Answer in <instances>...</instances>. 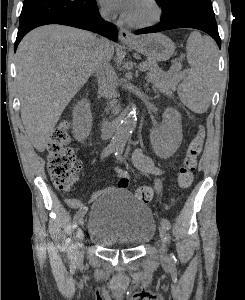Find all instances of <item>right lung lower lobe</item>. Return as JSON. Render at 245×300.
Instances as JSON below:
<instances>
[{
  "label": "right lung lower lobe",
  "mask_w": 245,
  "mask_h": 300,
  "mask_svg": "<svg viewBox=\"0 0 245 300\" xmlns=\"http://www.w3.org/2000/svg\"><path fill=\"white\" fill-rule=\"evenodd\" d=\"M47 24H62V25H68L80 29H85L89 31H93L95 33H98L100 35H103L113 41H116L117 39V28L112 23L106 22L102 19L98 12V8L94 9L92 12H90L87 15L82 16H64L55 18L52 20H49L47 22L31 26L28 28H24L21 30H18L17 38L14 44V50L16 51L17 46L21 39L32 29L47 25Z\"/></svg>",
  "instance_id": "98d812e1"
}]
</instances>
